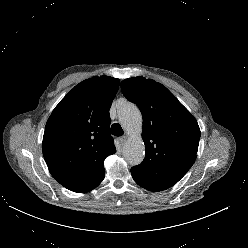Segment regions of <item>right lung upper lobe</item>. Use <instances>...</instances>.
I'll return each mask as SVG.
<instances>
[{"label":"right lung upper lobe","mask_w":248,"mask_h":248,"mask_svg":"<svg viewBox=\"0 0 248 248\" xmlns=\"http://www.w3.org/2000/svg\"><path fill=\"white\" fill-rule=\"evenodd\" d=\"M118 87L119 79L105 75L84 80L60 101L46 123L44 159L51 175L73 192L97 187L105 176V158L116 152L109 109Z\"/></svg>","instance_id":"1"}]
</instances>
